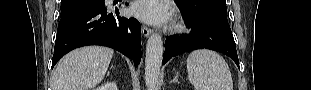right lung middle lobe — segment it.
<instances>
[{
    "label": "right lung middle lobe",
    "mask_w": 311,
    "mask_h": 90,
    "mask_svg": "<svg viewBox=\"0 0 311 90\" xmlns=\"http://www.w3.org/2000/svg\"><path fill=\"white\" fill-rule=\"evenodd\" d=\"M104 6V0H62L61 17L77 10Z\"/></svg>",
    "instance_id": "right-lung-middle-lobe-1"
}]
</instances>
